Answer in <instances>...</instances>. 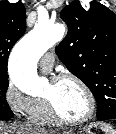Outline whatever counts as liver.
Here are the masks:
<instances>
[{
  "mask_svg": "<svg viewBox=\"0 0 116 134\" xmlns=\"http://www.w3.org/2000/svg\"><path fill=\"white\" fill-rule=\"evenodd\" d=\"M0 134H47L46 132H37L32 128L24 129L21 126L6 125L0 122Z\"/></svg>",
  "mask_w": 116,
  "mask_h": 134,
  "instance_id": "6515ba94",
  "label": "liver"
}]
</instances>
